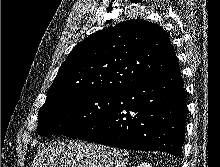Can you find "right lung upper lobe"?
<instances>
[{"label": "right lung upper lobe", "instance_id": "obj_1", "mask_svg": "<svg viewBox=\"0 0 220 167\" xmlns=\"http://www.w3.org/2000/svg\"><path fill=\"white\" fill-rule=\"evenodd\" d=\"M179 69L169 36L141 19L120 22L88 36L61 65L46 101L77 91L118 93Z\"/></svg>", "mask_w": 220, "mask_h": 167}]
</instances>
